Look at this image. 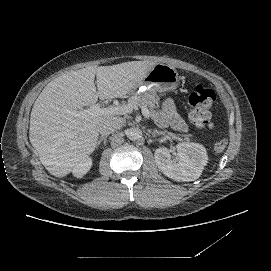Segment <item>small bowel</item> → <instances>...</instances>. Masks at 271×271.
Wrapping results in <instances>:
<instances>
[{
    "instance_id": "c3829d8e",
    "label": "small bowel",
    "mask_w": 271,
    "mask_h": 271,
    "mask_svg": "<svg viewBox=\"0 0 271 271\" xmlns=\"http://www.w3.org/2000/svg\"><path fill=\"white\" fill-rule=\"evenodd\" d=\"M163 108L171 124L180 131L185 130V125L177 115L173 102L170 100L166 101Z\"/></svg>"
}]
</instances>
